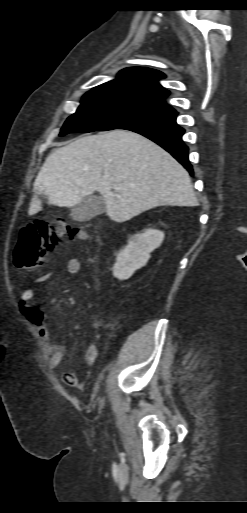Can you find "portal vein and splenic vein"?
I'll list each match as a JSON object with an SVG mask.
<instances>
[{"label": "portal vein and splenic vein", "instance_id": "portal-vein-and-splenic-vein-1", "mask_svg": "<svg viewBox=\"0 0 247 513\" xmlns=\"http://www.w3.org/2000/svg\"><path fill=\"white\" fill-rule=\"evenodd\" d=\"M121 190V187H116L115 188V191H120Z\"/></svg>", "mask_w": 247, "mask_h": 513}]
</instances>
